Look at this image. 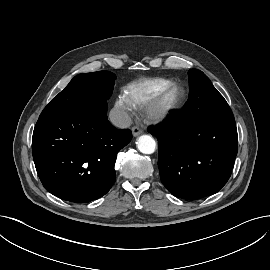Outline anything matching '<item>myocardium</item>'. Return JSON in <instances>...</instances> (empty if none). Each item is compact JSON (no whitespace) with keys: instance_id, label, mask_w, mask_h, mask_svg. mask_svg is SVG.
<instances>
[{"instance_id":"obj_1","label":"myocardium","mask_w":270,"mask_h":270,"mask_svg":"<svg viewBox=\"0 0 270 270\" xmlns=\"http://www.w3.org/2000/svg\"><path fill=\"white\" fill-rule=\"evenodd\" d=\"M173 93H176L175 97H171ZM186 100L185 88L178 83L171 82L144 106L143 114L150 122H162L178 112Z\"/></svg>"}]
</instances>
